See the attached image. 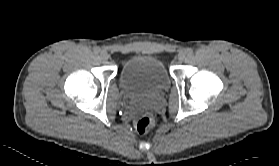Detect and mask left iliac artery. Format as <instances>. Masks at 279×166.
I'll use <instances>...</instances> for the list:
<instances>
[{
	"label": "left iliac artery",
	"instance_id": "obj_1",
	"mask_svg": "<svg viewBox=\"0 0 279 166\" xmlns=\"http://www.w3.org/2000/svg\"><path fill=\"white\" fill-rule=\"evenodd\" d=\"M186 53H187L188 55H192V54H193V50H192L191 48H187V49H186Z\"/></svg>",
	"mask_w": 279,
	"mask_h": 166
}]
</instances>
